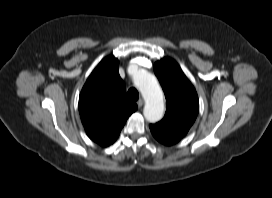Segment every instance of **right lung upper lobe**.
Masks as SVG:
<instances>
[{
  "label": "right lung upper lobe",
  "instance_id": "cb5924a9",
  "mask_svg": "<svg viewBox=\"0 0 272 198\" xmlns=\"http://www.w3.org/2000/svg\"><path fill=\"white\" fill-rule=\"evenodd\" d=\"M118 60L103 59L87 79L79 97V113L91 140L106 147L116 141L137 105L126 96Z\"/></svg>",
  "mask_w": 272,
  "mask_h": 198
}]
</instances>
